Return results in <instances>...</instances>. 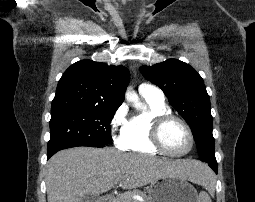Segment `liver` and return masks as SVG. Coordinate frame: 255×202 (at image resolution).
<instances>
[{"instance_id":"obj_1","label":"liver","mask_w":255,"mask_h":202,"mask_svg":"<svg viewBox=\"0 0 255 202\" xmlns=\"http://www.w3.org/2000/svg\"><path fill=\"white\" fill-rule=\"evenodd\" d=\"M200 167L207 168L191 159H160L122 153L114 148L65 149L47 163V199L48 202H81L86 194L99 195L117 183L133 189L169 175L199 183Z\"/></svg>"}]
</instances>
